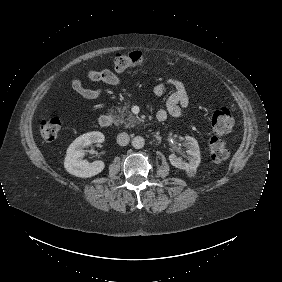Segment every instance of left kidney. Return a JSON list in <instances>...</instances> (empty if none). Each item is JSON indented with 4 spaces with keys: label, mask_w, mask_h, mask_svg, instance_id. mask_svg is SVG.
Wrapping results in <instances>:
<instances>
[{
    "label": "left kidney",
    "mask_w": 282,
    "mask_h": 282,
    "mask_svg": "<svg viewBox=\"0 0 282 282\" xmlns=\"http://www.w3.org/2000/svg\"><path fill=\"white\" fill-rule=\"evenodd\" d=\"M184 146L186 152L191 156L190 163L183 162L180 157L174 154L169 155V161L174 167L184 170L189 178H194L197 174V167L201 162L200 148L196 139L190 136L184 137Z\"/></svg>",
    "instance_id": "1"
}]
</instances>
